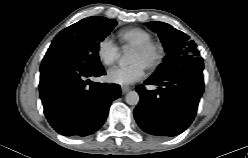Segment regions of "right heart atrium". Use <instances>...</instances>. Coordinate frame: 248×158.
Masks as SVG:
<instances>
[{"mask_svg": "<svg viewBox=\"0 0 248 158\" xmlns=\"http://www.w3.org/2000/svg\"><path fill=\"white\" fill-rule=\"evenodd\" d=\"M118 55L119 49L110 38L104 37L99 41L97 45V56L104 66H112L117 60Z\"/></svg>", "mask_w": 248, "mask_h": 158, "instance_id": "1", "label": "right heart atrium"}]
</instances>
